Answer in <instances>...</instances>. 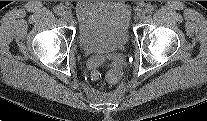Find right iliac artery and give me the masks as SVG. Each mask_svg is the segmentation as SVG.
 <instances>
[{"label": "right iliac artery", "instance_id": "1", "mask_svg": "<svg viewBox=\"0 0 207 121\" xmlns=\"http://www.w3.org/2000/svg\"><path fill=\"white\" fill-rule=\"evenodd\" d=\"M54 11L58 16H62L64 12V8L62 6H57Z\"/></svg>", "mask_w": 207, "mask_h": 121}]
</instances>
